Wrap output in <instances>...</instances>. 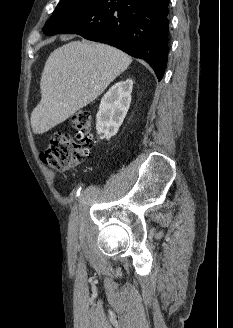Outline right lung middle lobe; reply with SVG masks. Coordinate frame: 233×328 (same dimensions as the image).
Masks as SVG:
<instances>
[{"label":"right lung middle lobe","instance_id":"1","mask_svg":"<svg viewBox=\"0 0 233 328\" xmlns=\"http://www.w3.org/2000/svg\"><path fill=\"white\" fill-rule=\"evenodd\" d=\"M94 1L95 0H60L57 8L52 14V17L44 26V33L48 35L50 33V26L57 20L75 13L76 11L90 5Z\"/></svg>","mask_w":233,"mask_h":328}]
</instances>
